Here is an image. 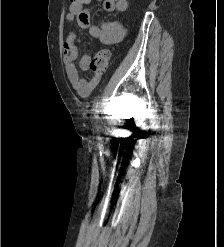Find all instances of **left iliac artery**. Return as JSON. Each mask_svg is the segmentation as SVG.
Instances as JSON below:
<instances>
[{"label": "left iliac artery", "instance_id": "1", "mask_svg": "<svg viewBox=\"0 0 224 247\" xmlns=\"http://www.w3.org/2000/svg\"><path fill=\"white\" fill-rule=\"evenodd\" d=\"M95 113H96L95 118L99 119V116H98V114H99V102L96 103Z\"/></svg>", "mask_w": 224, "mask_h": 247}]
</instances>
